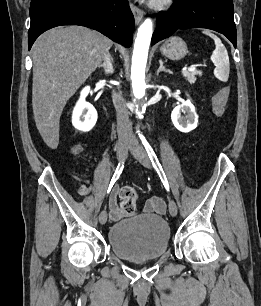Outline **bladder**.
Wrapping results in <instances>:
<instances>
[{"mask_svg": "<svg viewBox=\"0 0 261 306\" xmlns=\"http://www.w3.org/2000/svg\"><path fill=\"white\" fill-rule=\"evenodd\" d=\"M170 236V227L163 217L139 214L114 223L108 232V243L117 257L139 261L164 255Z\"/></svg>", "mask_w": 261, "mask_h": 306, "instance_id": "bladder-1", "label": "bladder"}]
</instances>
